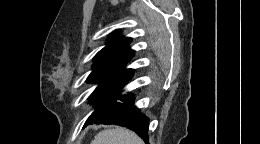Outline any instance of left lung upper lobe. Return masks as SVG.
Instances as JSON below:
<instances>
[{"mask_svg":"<svg viewBox=\"0 0 260 144\" xmlns=\"http://www.w3.org/2000/svg\"><path fill=\"white\" fill-rule=\"evenodd\" d=\"M130 42L131 38L119 37V30H116L111 34L106 46L94 57L92 72L87 81L99 84L89 97L95 111L87 119L84 127L107 106L115 94L132 77L134 70L124 68L134 54V50L129 48Z\"/></svg>","mask_w":260,"mask_h":144,"instance_id":"left-lung-upper-lobe-1","label":"left lung upper lobe"}]
</instances>
